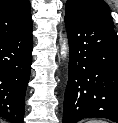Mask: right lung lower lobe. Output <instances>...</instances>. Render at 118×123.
<instances>
[{"label":"right lung lower lobe","instance_id":"right-lung-lower-lobe-1","mask_svg":"<svg viewBox=\"0 0 118 123\" xmlns=\"http://www.w3.org/2000/svg\"><path fill=\"white\" fill-rule=\"evenodd\" d=\"M32 48V26L22 33L0 38V117L12 123H23Z\"/></svg>","mask_w":118,"mask_h":123}]
</instances>
